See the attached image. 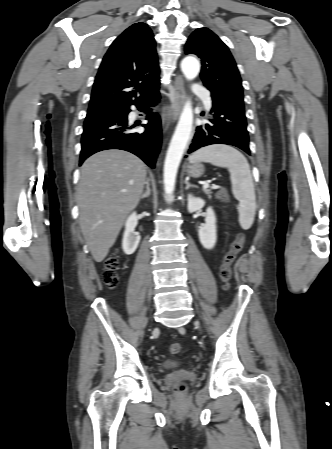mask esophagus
Masks as SVG:
<instances>
[{
    "mask_svg": "<svg viewBox=\"0 0 332 449\" xmlns=\"http://www.w3.org/2000/svg\"><path fill=\"white\" fill-rule=\"evenodd\" d=\"M173 107L172 109L168 107V109L164 112L162 116L163 124L166 123L168 119L175 120L180 113L182 108L184 98H185V90H184V82L182 76L178 75L175 78L173 85Z\"/></svg>",
    "mask_w": 332,
    "mask_h": 449,
    "instance_id": "1",
    "label": "esophagus"
}]
</instances>
